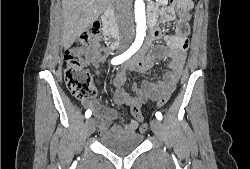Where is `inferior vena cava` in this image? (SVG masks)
<instances>
[{
  "instance_id": "obj_1",
  "label": "inferior vena cava",
  "mask_w": 250,
  "mask_h": 169,
  "mask_svg": "<svg viewBox=\"0 0 250 169\" xmlns=\"http://www.w3.org/2000/svg\"><path fill=\"white\" fill-rule=\"evenodd\" d=\"M116 18L121 34H124V32H130V30H132V0H117Z\"/></svg>"
}]
</instances>
